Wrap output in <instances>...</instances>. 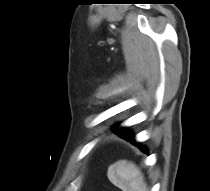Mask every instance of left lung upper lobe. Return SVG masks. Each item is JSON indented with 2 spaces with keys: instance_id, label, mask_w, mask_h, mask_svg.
Returning <instances> with one entry per match:
<instances>
[{
  "instance_id": "5c2ea615",
  "label": "left lung upper lobe",
  "mask_w": 210,
  "mask_h": 191,
  "mask_svg": "<svg viewBox=\"0 0 210 191\" xmlns=\"http://www.w3.org/2000/svg\"><path fill=\"white\" fill-rule=\"evenodd\" d=\"M112 131H113L115 134H117L119 137H120V136H124V135L130 133V132L127 130V128H119V127H117V125L114 126V127H112Z\"/></svg>"
}]
</instances>
